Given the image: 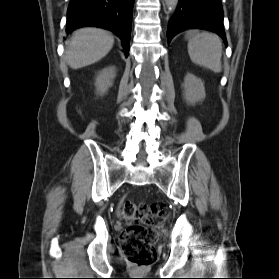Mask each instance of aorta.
Masks as SVG:
<instances>
[{
    "mask_svg": "<svg viewBox=\"0 0 279 279\" xmlns=\"http://www.w3.org/2000/svg\"><path fill=\"white\" fill-rule=\"evenodd\" d=\"M167 7L169 9L174 10L178 4V0H165Z\"/></svg>",
    "mask_w": 279,
    "mask_h": 279,
    "instance_id": "aorta-1",
    "label": "aorta"
}]
</instances>
